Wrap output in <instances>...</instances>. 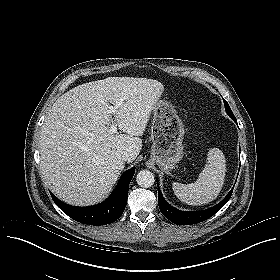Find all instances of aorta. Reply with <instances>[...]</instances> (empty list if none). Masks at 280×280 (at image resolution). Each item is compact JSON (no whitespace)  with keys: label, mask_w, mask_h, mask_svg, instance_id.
Returning <instances> with one entry per match:
<instances>
[{"label":"aorta","mask_w":280,"mask_h":280,"mask_svg":"<svg viewBox=\"0 0 280 280\" xmlns=\"http://www.w3.org/2000/svg\"><path fill=\"white\" fill-rule=\"evenodd\" d=\"M136 181L139 186L149 188L155 182L154 174L149 170H142L137 174Z\"/></svg>","instance_id":"obj_1"}]
</instances>
